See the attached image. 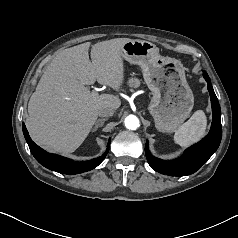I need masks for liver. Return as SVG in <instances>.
<instances>
[{"label":"liver","mask_w":238,"mask_h":238,"mask_svg":"<svg viewBox=\"0 0 238 238\" xmlns=\"http://www.w3.org/2000/svg\"><path fill=\"white\" fill-rule=\"evenodd\" d=\"M116 38L86 42L60 51L47 66L28 103L26 126L34 142L46 150L72 153L86 139L101 106L114 110L121 100L96 94L85 86L97 80L118 91L124 82L121 48L130 41Z\"/></svg>","instance_id":"6515ba94"}]
</instances>
